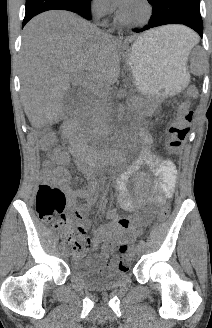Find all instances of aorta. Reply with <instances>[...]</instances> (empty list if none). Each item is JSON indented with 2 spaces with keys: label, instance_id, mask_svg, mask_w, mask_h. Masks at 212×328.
<instances>
[{
  "label": "aorta",
  "instance_id": "762f6f07",
  "mask_svg": "<svg viewBox=\"0 0 212 328\" xmlns=\"http://www.w3.org/2000/svg\"><path fill=\"white\" fill-rule=\"evenodd\" d=\"M115 172H116V174L113 176L115 179H117L119 176L118 175H120L121 174V171H120V169L119 168H116L115 169Z\"/></svg>",
  "mask_w": 212,
  "mask_h": 328
}]
</instances>
